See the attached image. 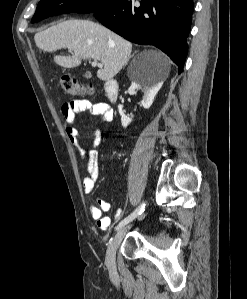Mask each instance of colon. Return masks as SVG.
Instances as JSON below:
<instances>
[{
	"mask_svg": "<svg viewBox=\"0 0 247 299\" xmlns=\"http://www.w3.org/2000/svg\"><path fill=\"white\" fill-rule=\"evenodd\" d=\"M60 83L64 92L70 95H85L92 94L94 92V88L92 86H83L70 75H63L60 79Z\"/></svg>",
	"mask_w": 247,
	"mask_h": 299,
	"instance_id": "5ec220e1",
	"label": "colon"
}]
</instances>
